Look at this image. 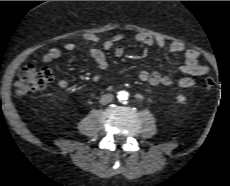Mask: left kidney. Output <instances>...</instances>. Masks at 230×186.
<instances>
[{"mask_svg": "<svg viewBox=\"0 0 230 186\" xmlns=\"http://www.w3.org/2000/svg\"><path fill=\"white\" fill-rule=\"evenodd\" d=\"M177 100L179 103L184 104L186 101V97L184 95H178Z\"/></svg>", "mask_w": 230, "mask_h": 186, "instance_id": "1", "label": "left kidney"}]
</instances>
